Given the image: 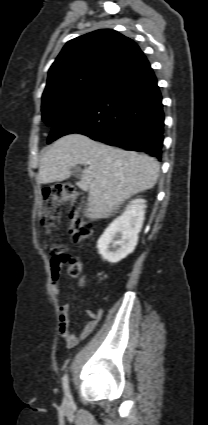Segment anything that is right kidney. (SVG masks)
<instances>
[{
	"label": "right kidney",
	"mask_w": 208,
	"mask_h": 425,
	"mask_svg": "<svg viewBox=\"0 0 208 425\" xmlns=\"http://www.w3.org/2000/svg\"><path fill=\"white\" fill-rule=\"evenodd\" d=\"M145 203L144 199L132 200L122 215L117 217L99 238L97 248L108 262L117 263L134 251L144 221ZM116 237L118 239L114 240ZM116 246L119 248L111 251L110 248Z\"/></svg>",
	"instance_id": "1"
}]
</instances>
